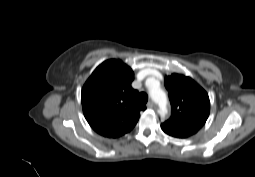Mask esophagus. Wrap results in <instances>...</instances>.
Segmentation results:
<instances>
[{
	"instance_id": "1",
	"label": "esophagus",
	"mask_w": 255,
	"mask_h": 177,
	"mask_svg": "<svg viewBox=\"0 0 255 177\" xmlns=\"http://www.w3.org/2000/svg\"><path fill=\"white\" fill-rule=\"evenodd\" d=\"M147 107L148 108H154L155 107V103L153 102V101H149L148 103H147Z\"/></svg>"
}]
</instances>
